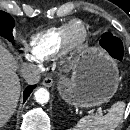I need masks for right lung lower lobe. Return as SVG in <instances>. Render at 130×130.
Segmentation results:
<instances>
[{
    "mask_svg": "<svg viewBox=\"0 0 130 130\" xmlns=\"http://www.w3.org/2000/svg\"><path fill=\"white\" fill-rule=\"evenodd\" d=\"M36 87V85H30L28 86L25 91H24V102L27 100V98L29 97L30 93L32 92V90Z\"/></svg>",
    "mask_w": 130,
    "mask_h": 130,
    "instance_id": "right-lung-lower-lobe-1",
    "label": "right lung lower lobe"
}]
</instances>
